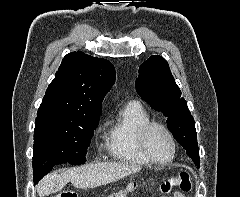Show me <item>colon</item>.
Here are the masks:
<instances>
[{
    "instance_id": "obj_1",
    "label": "colon",
    "mask_w": 240,
    "mask_h": 197,
    "mask_svg": "<svg viewBox=\"0 0 240 197\" xmlns=\"http://www.w3.org/2000/svg\"><path fill=\"white\" fill-rule=\"evenodd\" d=\"M192 183L190 174L186 171L181 172L178 176H172L166 178L161 184L160 188L164 193H169L175 188L180 189L183 192H188L191 190ZM135 185L131 184L125 189L117 191L108 195L107 197H127L133 190ZM53 197H78L74 191H63Z\"/></svg>"
}]
</instances>
